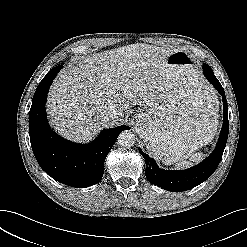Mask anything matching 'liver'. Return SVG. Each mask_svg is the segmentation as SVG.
<instances>
[{"label": "liver", "instance_id": "liver-1", "mask_svg": "<svg viewBox=\"0 0 247 247\" xmlns=\"http://www.w3.org/2000/svg\"><path fill=\"white\" fill-rule=\"evenodd\" d=\"M176 51L136 43L70 64L59 72L48 95L51 123L67 139L89 141L131 106H152L168 82L166 59ZM109 106L119 111L118 118L102 117Z\"/></svg>", "mask_w": 247, "mask_h": 247}]
</instances>
